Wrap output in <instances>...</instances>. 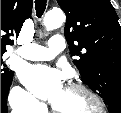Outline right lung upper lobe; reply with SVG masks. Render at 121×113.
Returning <instances> with one entry per match:
<instances>
[{
  "label": "right lung upper lobe",
  "mask_w": 121,
  "mask_h": 113,
  "mask_svg": "<svg viewBox=\"0 0 121 113\" xmlns=\"http://www.w3.org/2000/svg\"><path fill=\"white\" fill-rule=\"evenodd\" d=\"M33 0H1V52L13 45L10 36H18L24 21L30 17Z\"/></svg>",
  "instance_id": "cb5924a9"
}]
</instances>
